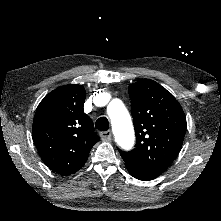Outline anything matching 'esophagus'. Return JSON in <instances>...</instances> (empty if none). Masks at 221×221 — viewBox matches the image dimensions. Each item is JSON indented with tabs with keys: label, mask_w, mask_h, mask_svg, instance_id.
Masks as SVG:
<instances>
[{
	"label": "esophagus",
	"mask_w": 221,
	"mask_h": 221,
	"mask_svg": "<svg viewBox=\"0 0 221 221\" xmlns=\"http://www.w3.org/2000/svg\"><path fill=\"white\" fill-rule=\"evenodd\" d=\"M100 137L103 141L110 142L112 137L111 131L100 132Z\"/></svg>",
	"instance_id": "obj_1"
}]
</instances>
